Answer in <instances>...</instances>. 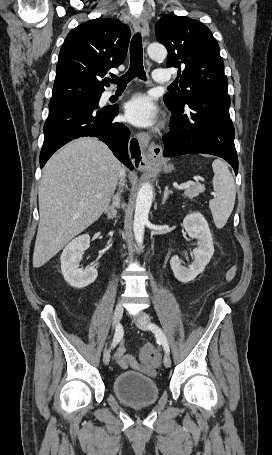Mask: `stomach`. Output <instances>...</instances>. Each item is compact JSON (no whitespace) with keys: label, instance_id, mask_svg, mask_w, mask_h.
I'll use <instances>...</instances> for the list:
<instances>
[{"label":"stomach","instance_id":"0dacf381","mask_svg":"<svg viewBox=\"0 0 272 455\" xmlns=\"http://www.w3.org/2000/svg\"><path fill=\"white\" fill-rule=\"evenodd\" d=\"M155 165L158 166L159 168L163 169L165 172H170L171 170H173L172 165H166V164H155Z\"/></svg>","mask_w":272,"mask_h":455}]
</instances>
